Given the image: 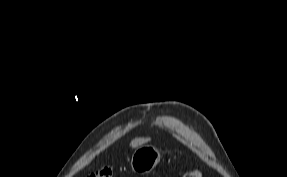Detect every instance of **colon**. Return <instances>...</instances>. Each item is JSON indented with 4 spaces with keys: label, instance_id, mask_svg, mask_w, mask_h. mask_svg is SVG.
I'll return each mask as SVG.
<instances>
[{
    "label": "colon",
    "instance_id": "1",
    "mask_svg": "<svg viewBox=\"0 0 287 177\" xmlns=\"http://www.w3.org/2000/svg\"><path fill=\"white\" fill-rule=\"evenodd\" d=\"M202 172L199 169H190L186 171L182 177H202ZM88 177H113V171L109 167L99 168L93 173L89 174Z\"/></svg>",
    "mask_w": 287,
    "mask_h": 177
}]
</instances>
